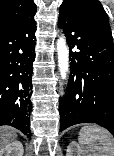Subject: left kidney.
<instances>
[{
  "instance_id": "1",
  "label": "left kidney",
  "mask_w": 114,
  "mask_h": 156,
  "mask_svg": "<svg viewBox=\"0 0 114 156\" xmlns=\"http://www.w3.org/2000/svg\"><path fill=\"white\" fill-rule=\"evenodd\" d=\"M66 156H86L81 147L75 141H72L67 147Z\"/></svg>"
}]
</instances>
